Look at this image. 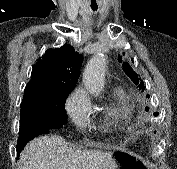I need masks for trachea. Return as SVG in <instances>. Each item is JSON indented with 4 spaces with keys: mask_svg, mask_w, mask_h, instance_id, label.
Segmentation results:
<instances>
[{
    "mask_svg": "<svg viewBox=\"0 0 177 169\" xmlns=\"http://www.w3.org/2000/svg\"><path fill=\"white\" fill-rule=\"evenodd\" d=\"M93 11H96L97 10V7H91Z\"/></svg>",
    "mask_w": 177,
    "mask_h": 169,
    "instance_id": "1",
    "label": "trachea"
}]
</instances>
